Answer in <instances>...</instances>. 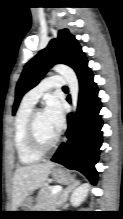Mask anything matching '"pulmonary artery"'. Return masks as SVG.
I'll list each match as a JSON object with an SVG mask.
<instances>
[{
    "label": "pulmonary artery",
    "mask_w": 123,
    "mask_h": 219,
    "mask_svg": "<svg viewBox=\"0 0 123 219\" xmlns=\"http://www.w3.org/2000/svg\"><path fill=\"white\" fill-rule=\"evenodd\" d=\"M65 84L66 80L62 76L54 75L47 77L24 95L23 102L34 105L46 91L53 88H61Z\"/></svg>",
    "instance_id": "1"
}]
</instances>
